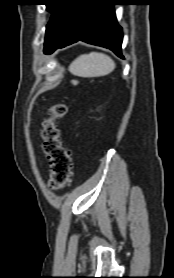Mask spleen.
Segmentation results:
<instances>
[{
  "label": "spleen",
  "instance_id": "3e777b00",
  "mask_svg": "<svg viewBox=\"0 0 174 278\" xmlns=\"http://www.w3.org/2000/svg\"><path fill=\"white\" fill-rule=\"evenodd\" d=\"M115 68V63L108 55L91 52L77 57L69 66V71L84 78L99 77L109 74Z\"/></svg>",
  "mask_w": 174,
  "mask_h": 278
}]
</instances>
